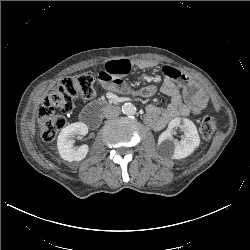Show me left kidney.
I'll return each instance as SVG.
<instances>
[{"label": "left kidney", "instance_id": "5707ae66", "mask_svg": "<svg viewBox=\"0 0 250 250\" xmlns=\"http://www.w3.org/2000/svg\"><path fill=\"white\" fill-rule=\"evenodd\" d=\"M176 128L184 132V138L177 141L172 134ZM200 145V137L195 124L186 118H174L168 124V129L158 138L161 153L172 159L188 157Z\"/></svg>", "mask_w": 250, "mask_h": 250}]
</instances>
